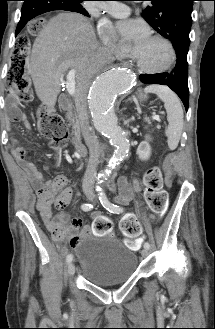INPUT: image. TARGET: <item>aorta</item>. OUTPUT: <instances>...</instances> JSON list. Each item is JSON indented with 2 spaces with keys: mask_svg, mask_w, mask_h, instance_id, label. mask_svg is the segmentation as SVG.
<instances>
[{
  "mask_svg": "<svg viewBox=\"0 0 215 329\" xmlns=\"http://www.w3.org/2000/svg\"><path fill=\"white\" fill-rule=\"evenodd\" d=\"M134 81L130 70L110 67L94 80L89 90L88 103L94 127L115 147L114 162L102 172V178L107 177L110 168L121 162L129 152L130 143L118 125L114 103L117 95L130 89Z\"/></svg>",
  "mask_w": 215,
  "mask_h": 329,
  "instance_id": "762f6f07",
  "label": "aorta"
}]
</instances>
